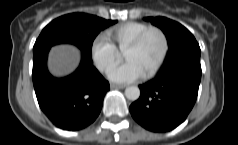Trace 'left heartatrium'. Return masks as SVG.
<instances>
[{
  "label": "left heart atrium",
  "instance_id": "left-heart-atrium-1",
  "mask_svg": "<svg viewBox=\"0 0 238 145\" xmlns=\"http://www.w3.org/2000/svg\"><path fill=\"white\" fill-rule=\"evenodd\" d=\"M143 75L139 67L130 60L115 66L109 72V78L112 81L125 83L139 79Z\"/></svg>",
  "mask_w": 238,
  "mask_h": 145
}]
</instances>
